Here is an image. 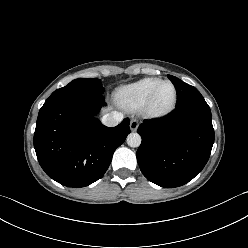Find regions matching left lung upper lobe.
<instances>
[{
    "label": "left lung upper lobe",
    "mask_w": 248,
    "mask_h": 248,
    "mask_svg": "<svg viewBox=\"0 0 248 248\" xmlns=\"http://www.w3.org/2000/svg\"><path fill=\"white\" fill-rule=\"evenodd\" d=\"M170 81L174 84L177 91V105L176 107L182 106L189 102L204 99L200 92L193 86L181 81L177 77L168 75Z\"/></svg>",
    "instance_id": "5c2ea615"
}]
</instances>
